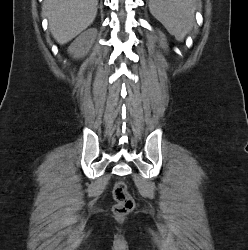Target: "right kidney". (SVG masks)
Listing matches in <instances>:
<instances>
[{
  "instance_id": "ca27d5eb",
  "label": "right kidney",
  "mask_w": 248,
  "mask_h": 250,
  "mask_svg": "<svg viewBox=\"0 0 248 250\" xmlns=\"http://www.w3.org/2000/svg\"><path fill=\"white\" fill-rule=\"evenodd\" d=\"M96 37V31L91 30L82 33L77 37L68 48V53L73 58L80 59L85 57L90 51Z\"/></svg>"
}]
</instances>
